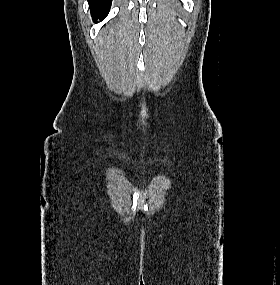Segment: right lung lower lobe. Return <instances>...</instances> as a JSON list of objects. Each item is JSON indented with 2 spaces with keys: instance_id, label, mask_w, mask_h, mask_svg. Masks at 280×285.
<instances>
[{
  "instance_id": "obj_1",
  "label": "right lung lower lobe",
  "mask_w": 280,
  "mask_h": 285,
  "mask_svg": "<svg viewBox=\"0 0 280 285\" xmlns=\"http://www.w3.org/2000/svg\"><path fill=\"white\" fill-rule=\"evenodd\" d=\"M112 0H88L91 10L92 19L97 22V19L102 21L109 13Z\"/></svg>"
}]
</instances>
